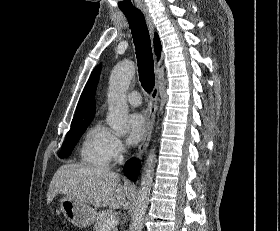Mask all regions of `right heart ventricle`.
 <instances>
[{
	"label": "right heart ventricle",
	"mask_w": 280,
	"mask_h": 231,
	"mask_svg": "<svg viewBox=\"0 0 280 231\" xmlns=\"http://www.w3.org/2000/svg\"><path fill=\"white\" fill-rule=\"evenodd\" d=\"M111 133L100 124H93L85 132L79 146L82 165L90 168H105L110 162L108 141Z\"/></svg>",
	"instance_id": "1"
}]
</instances>
